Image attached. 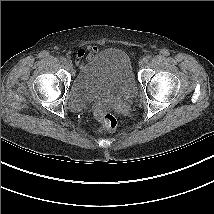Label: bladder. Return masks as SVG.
I'll return each mask as SVG.
<instances>
[{
    "instance_id": "1",
    "label": "bladder",
    "mask_w": 214,
    "mask_h": 214,
    "mask_svg": "<svg viewBox=\"0 0 214 214\" xmlns=\"http://www.w3.org/2000/svg\"><path fill=\"white\" fill-rule=\"evenodd\" d=\"M136 90L129 57L109 48L80 69L71 83L68 100L71 106H83L97 97L129 99Z\"/></svg>"
}]
</instances>
